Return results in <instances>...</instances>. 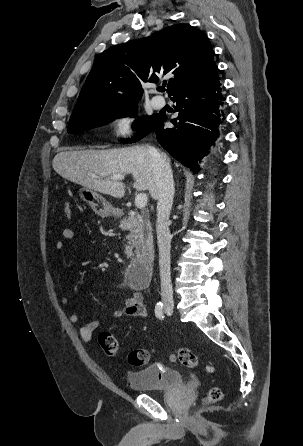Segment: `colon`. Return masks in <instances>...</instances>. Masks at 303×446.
<instances>
[{"mask_svg": "<svg viewBox=\"0 0 303 446\" xmlns=\"http://www.w3.org/2000/svg\"><path fill=\"white\" fill-rule=\"evenodd\" d=\"M64 213L67 218L71 217V206L65 203L63 206ZM98 342L103 351L109 355L114 356L118 351V341L115 336L109 332H102L98 336ZM151 352L147 349L133 350L128 355V361L133 366L146 365L150 360ZM173 363L181 364L187 368H196L199 365L198 357L188 349H180L169 357ZM205 370L209 374H213L215 369L211 365L205 366ZM223 398L222 390L219 387L212 388L206 398L207 403H216Z\"/></svg>", "mask_w": 303, "mask_h": 446, "instance_id": "colon-1", "label": "colon"}]
</instances>
